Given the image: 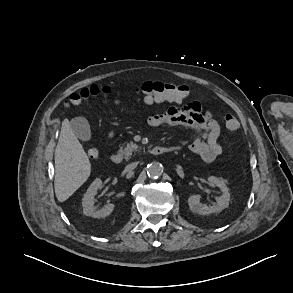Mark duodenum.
<instances>
[{
	"label": "duodenum",
	"mask_w": 293,
	"mask_h": 293,
	"mask_svg": "<svg viewBox=\"0 0 293 293\" xmlns=\"http://www.w3.org/2000/svg\"><path fill=\"white\" fill-rule=\"evenodd\" d=\"M179 148L176 146H155L150 149V154L159 156L168 152L176 151ZM123 155L121 153L112 154L110 160L115 164H120L123 161Z\"/></svg>",
	"instance_id": "410a0bca"
}]
</instances>
